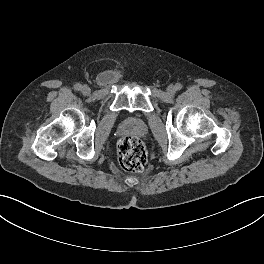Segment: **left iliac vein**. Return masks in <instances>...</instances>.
<instances>
[{"label":"left iliac vein","instance_id":"obj_1","mask_svg":"<svg viewBox=\"0 0 264 264\" xmlns=\"http://www.w3.org/2000/svg\"><path fill=\"white\" fill-rule=\"evenodd\" d=\"M175 92H176V89H175V87L173 85H169L167 87V94L169 96H173L175 94Z\"/></svg>","mask_w":264,"mask_h":264}]
</instances>
